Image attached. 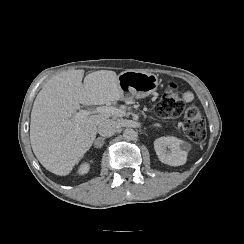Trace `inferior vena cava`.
I'll return each mask as SVG.
<instances>
[{
  "label": "inferior vena cava",
  "instance_id": "602c4592",
  "mask_svg": "<svg viewBox=\"0 0 244 244\" xmlns=\"http://www.w3.org/2000/svg\"><path fill=\"white\" fill-rule=\"evenodd\" d=\"M117 123L112 119H106L98 125V133L104 137H110L116 133Z\"/></svg>",
  "mask_w": 244,
  "mask_h": 244
}]
</instances>
